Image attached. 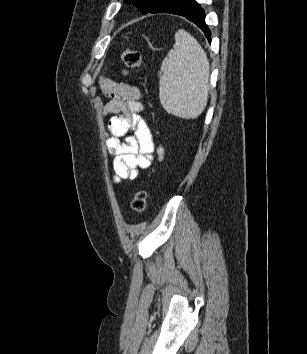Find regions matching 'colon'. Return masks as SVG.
<instances>
[{"label": "colon", "instance_id": "1", "mask_svg": "<svg viewBox=\"0 0 307 354\" xmlns=\"http://www.w3.org/2000/svg\"><path fill=\"white\" fill-rule=\"evenodd\" d=\"M123 64L129 68L137 69L141 64V56L137 50L124 48L121 52ZM147 205V193L144 189H138L132 198L131 206L136 212H143Z\"/></svg>", "mask_w": 307, "mask_h": 354}]
</instances>
